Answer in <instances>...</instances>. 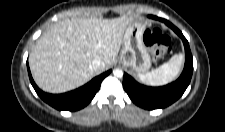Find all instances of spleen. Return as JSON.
Listing matches in <instances>:
<instances>
[{
  "label": "spleen",
  "instance_id": "obj_1",
  "mask_svg": "<svg viewBox=\"0 0 225 132\" xmlns=\"http://www.w3.org/2000/svg\"><path fill=\"white\" fill-rule=\"evenodd\" d=\"M183 54L173 55L170 60L148 73L138 74L139 80L149 86H163L175 80L181 72Z\"/></svg>",
  "mask_w": 225,
  "mask_h": 132
}]
</instances>
